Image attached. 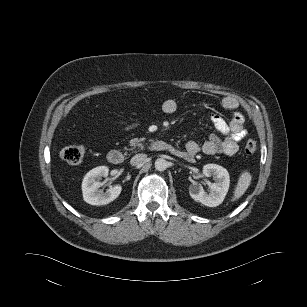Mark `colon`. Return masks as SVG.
<instances>
[{"label": "colon", "mask_w": 307, "mask_h": 307, "mask_svg": "<svg viewBox=\"0 0 307 307\" xmlns=\"http://www.w3.org/2000/svg\"><path fill=\"white\" fill-rule=\"evenodd\" d=\"M258 145L254 139H249L245 143L244 151L247 155H253L257 151ZM61 158L69 164H78L84 157V150L80 146L71 145L63 148L60 153Z\"/></svg>", "instance_id": "obj_1"}]
</instances>
